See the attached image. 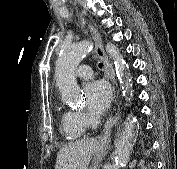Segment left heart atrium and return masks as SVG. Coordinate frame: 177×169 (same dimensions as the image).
<instances>
[{"label":"left heart atrium","mask_w":177,"mask_h":169,"mask_svg":"<svg viewBox=\"0 0 177 169\" xmlns=\"http://www.w3.org/2000/svg\"><path fill=\"white\" fill-rule=\"evenodd\" d=\"M86 107L92 116L102 115L109 107L111 89L103 80H93L84 87Z\"/></svg>","instance_id":"obj_1"}]
</instances>
